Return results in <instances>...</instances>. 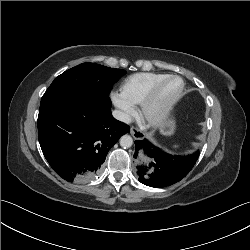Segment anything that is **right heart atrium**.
I'll use <instances>...</instances> for the list:
<instances>
[{
	"label": "right heart atrium",
	"instance_id": "d8ad5b80",
	"mask_svg": "<svg viewBox=\"0 0 250 250\" xmlns=\"http://www.w3.org/2000/svg\"><path fill=\"white\" fill-rule=\"evenodd\" d=\"M112 102L120 110L123 120H128L134 113V106L127 102L119 93H112Z\"/></svg>",
	"mask_w": 250,
	"mask_h": 250
}]
</instances>
